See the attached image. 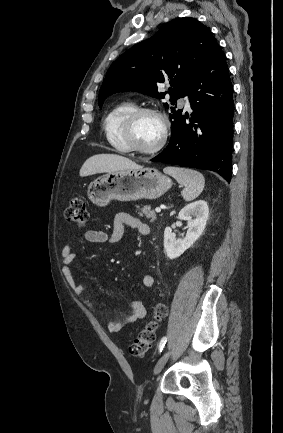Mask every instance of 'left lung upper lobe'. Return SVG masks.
Returning <instances> with one entry per match:
<instances>
[{
    "label": "left lung upper lobe",
    "instance_id": "left-lung-upper-lobe-1",
    "mask_svg": "<svg viewBox=\"0 0 283 433\" xmlns=\"http://www.w3.org/2000/svg\"><path fill=\"white\" fill-rule=\"evenodd\" d=\"M216 43L210 30L195 18L166 23L153 37L134 45L112 63L99 91V107L109 95L124 91L159 98L169 93L174 105L185 96L195 72ZM164 82L172 87L159 94L157 87ZM164 106L169 107L167 103ZM171 111L172 121L182 114L173 107Z\"/></svg>",
    "mask_w": 283,
    "mask_h": 433
}]
</instances>
